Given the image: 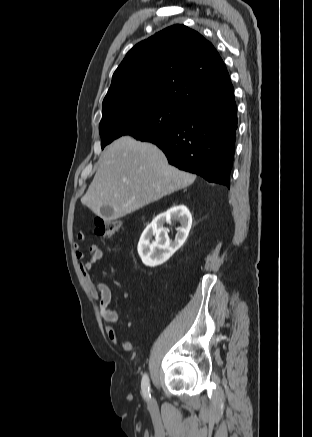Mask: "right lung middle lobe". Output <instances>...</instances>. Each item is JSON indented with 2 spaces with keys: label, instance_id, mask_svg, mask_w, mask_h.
<instances>
[{
  "label": "right lung middle lobe",
  "instance_id": "obj_1",
  "mask_svg": "<svg viewBox=\"0 0 312 437\" xmlns=\"http://www.w3.org/2000/svg\"><path fill=\"white\" fill-rule=\"evenodd\" d=\"M188 114L182 107L161 102H140L120 106L103 115L99 125L102 149L123 135L137 140L159 136L177 127Z\"/></svg>",
  "mask_w": 312,
  "mask_h": 437
}]
</instances>
